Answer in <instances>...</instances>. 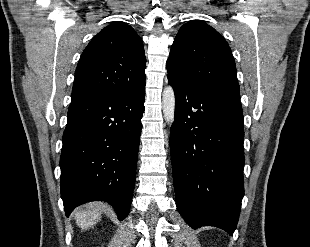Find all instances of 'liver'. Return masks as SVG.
Listing matches in <instances>:
<instances>
[{"label": "liver", "mask_w": 310, "mask_h": 247, "mask_svg": "<svg viewBox=\"0 0 310 247\" xmlns=\"http://www.w3.org/2000/svg\"><path fill=\"white\" fill-rule=\"evenodd\" d=\"M86 210L82 209L75 213L77 225L83 230L94 226L100 219L101 211L105 209L103 203H89L85 205Z\"/></svg>", "instance_id": "6515ba94"}]
</instances>
